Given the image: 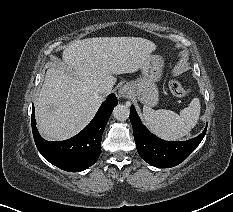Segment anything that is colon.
<instances>
[{"instance_id":"colon-1","label":"colon","mask_w":233,"mask_h":212,"mask_svg":"<svg viewBox=\"0 0 233 212\" xmlns=\"http://www.w3.org/2000/svg\"><path fill=\"white\" fill-rule=\"evenodd\" d=\"M169 89L171 93L177 97H185L189 94V90L183 87L176 79H173L169 82Z\"/></svg>"}]
</instances>
